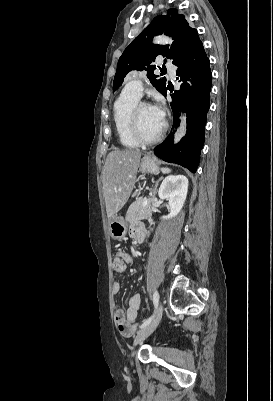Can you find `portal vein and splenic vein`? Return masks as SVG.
I'll list each match as a JSON object with an SVG mask.
<instances>
[{
  "label": "portal vein and splenic vein",
  "mask_w": 273,
  "mask_h": 401,
  "mask_svg": "<svg viewBox=\"0 0 273 401\" xmlns=\"http://www.w3.org/2000/svg\"><path fill=\"white\" fill-rule=\"evenodd\" d=\"M149 202H150L149 197H146L145 201L143 202V205L147 206ZM144 206H141V209H144Z\"/></svg>",
  "instance_id": "1"
}]
</instances>
